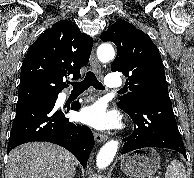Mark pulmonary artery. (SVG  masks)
Returning <instances> with one entry per match:
<instances>
[{
    "label": "pulmonary artery",
    "instance_id": "1",
    "mask_svg": "<svg viewBox=\"0 0 194 178\" xmlns=\"http://www.w3.org/2000/svg\"><path fill=\"white\" fill-rule=\"evenodd\" d=\"M105 85L108 88L116 89L123 85V81L117 74L112 73L105 77Z\"/></svg>",
    "mask_w": 194,
    "mask_h": 178
}]
</instances>
